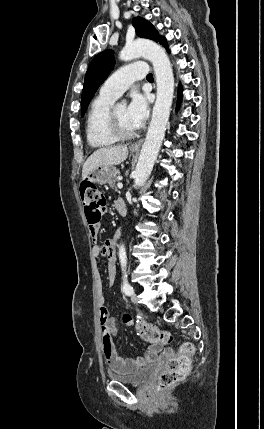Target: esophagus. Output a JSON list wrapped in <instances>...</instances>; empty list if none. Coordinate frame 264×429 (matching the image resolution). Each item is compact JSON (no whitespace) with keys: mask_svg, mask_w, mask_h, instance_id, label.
I'll list each match as a JSON object with an SVG mask.
<instances>
[{"mask_svg":"<svg viewBox=\"0 0 264 429\" xmlns=\"http://www.w3.org/2000/svg\"><path fill=\"white\" fill-rule=\"evenodd\" d=\"M142 143H143V139H141V140L135 142L134 144H132L131 148L132 149H139L141 147Z\"/></svg>","mask_w":264,"mask_h":429,"instance_id":"1","label":"esophagus"}]
</instances>
